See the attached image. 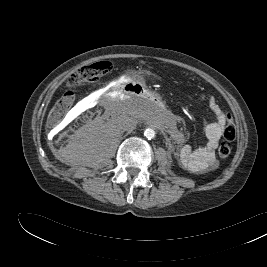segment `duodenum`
Here are the masks:
<instances>
[{"mask_svg":"<svg viewBox=\"0 0 267 267\" xmlns=\"http://www.w3.org/2000/svg\"><path fill=\"white\" fill-rule=\"evenodd\" d=\"M112 90L120 94L132 93L134 96H142L152 107L167 110V105L154 92L145 91L138 80H120L112 85Z\"/></svg>","mask_w":267,"mask_h":267,"instance_id":"1","label":"duodenum"}]
</instances>
